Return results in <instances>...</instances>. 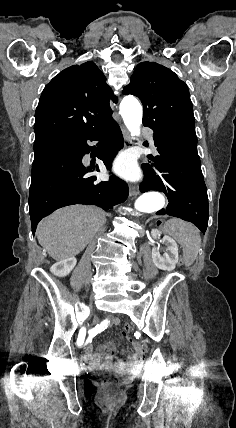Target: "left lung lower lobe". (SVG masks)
Masks as SVG:
<instances>
[{"instance_id":"1","label":"left lung lower lobe","mask_w":236,"mask_h":428,"mask_svg":"<svg viewBox=\"0 0 236 428\" xmlns=\"http://www.w3.org/2000/svg\"><path fill=\"white\" fill-rule=\"evenodd\" d=\"M153 139L159 153L154 159L156 170L143 164L146 181L140 185V191L164 192L169 204L156 215L192 222L205 233L209 204L198 153L160 132H154Z\"/></svg>"}]
</instances>
